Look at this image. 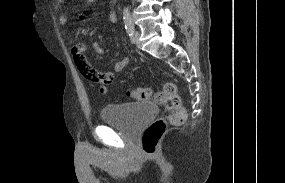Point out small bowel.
Masks as SVG:
<instances>
[{
    "mask_svg": "<svg viewBox=\"0 0 285 183\" xmlns=\"http://www.w3.org/2000/svg\"><path fill=\"white\" fill-rule=\"evenodd\" d=\"M58 2L61 3L63 2V0H58ZM111 18L115 20V16L113 14H111ZM59 22L63 26L66 25L67 17L65 15H61L59 17ZM92 47L97 54L104 53V48L99 42H94ZM86 50H87V46L84 43H77L76 45H74V47L72 48V53H73L75 62L76 64L84 63L88 65L90 72H91V77L87 79L98 83L100 85L99 93L101 95H105L108 91V85L112 83L115 74L121 72L126 67V65L129 62V58L124 57L122 60L115 63L112 71L101 72L92 67L90 61L88 60L86 56Z\"/></svg>",
    "mask_w": 285,
    "mask_h": 183,
    "instance_id": "small-bowel-1",
    "label": "small bowel"
}]
</instances>
